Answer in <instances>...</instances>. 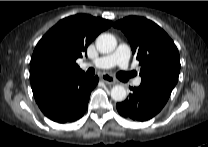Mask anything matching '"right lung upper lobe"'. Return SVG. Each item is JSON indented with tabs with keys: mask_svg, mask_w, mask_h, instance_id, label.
<instances>
[{
	"mask_svg": "<svg viewBox=\"0 0 208 147\" xmlns=\"http://www.w3.org/2000/svg\"><path fill=\"white\" fill-rule=\"evenodd\" d=\"M112 22L86 14L60 20L36 45L30 64L33 94L65 84L84 72L76 59L87 55L88 45Z\"/></svg>",
	"mask_w": 208,
	"mask_h": 147,
	"instance_id": "obj_1",
	"label": "right lung upper lobe"
}]
</instances>
